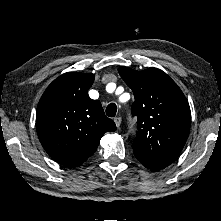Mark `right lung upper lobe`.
<instances>
[{
    "mask_svg": "<svg viewBox=\"0 0 221 221\" xmlns=\"http://www.w3.org/2000/svg\"><path fill=\"white\" fill-rule=\"evenodd\" d=\"M93 81V74L65 73L48 86L38 104L39 140L50 157L68 167L81 165L103 135L116 130L101 103L88 95Z\"/></svg>",
    "mask_w": 221,
    "mask_h": 221,
    "instance_id": "right-lung-upper-lobe-1",
    "label": "right lung upper lobe"
}]
</instances>
